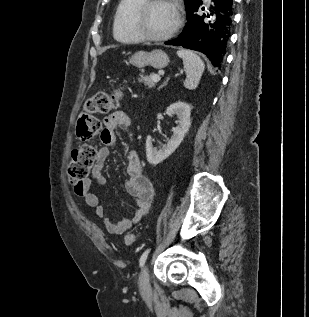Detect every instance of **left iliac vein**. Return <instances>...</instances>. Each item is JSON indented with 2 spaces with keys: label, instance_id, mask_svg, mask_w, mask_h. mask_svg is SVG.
<instances>
[{
  "label": "left iliac vein",
  "instance_id": "obj_1",
  "mask_svg": "<svg viewBox=\"0 0 309 317\" xmlns=\"http://www.w3.org/2000/svg\"><path fill=\"white\" fill-rule=\"evenodd\" d=\"M140 290L144 294L150 291L148 264L144 266L140 275Z\"/></svg>",
  "mask_w": 309,
  "mask_h": 317
}]
</instances>
